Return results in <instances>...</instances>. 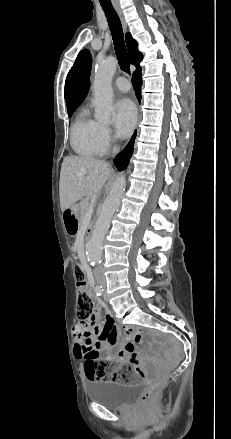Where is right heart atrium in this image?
Masks as SVG:
<instances>
[{
	"mask_svg": "<svg viewBox=\"0 0 231 439\" xmlns=\"http://www.w3.org/2000/svg\"><path fill=\"white\" fill-rule=\"evenodd\" d=\"M96 137L102 151L108 149L113 142L110 128L101 123H98Z\"/></svg>",
	"mask_w": 231,
	"mask_h": 439,
	"instance_id": "right-heart-atrium-1",
	"label": "right heart atrium"
}]
</instances>
